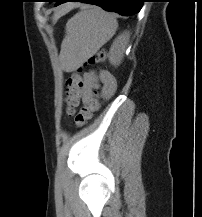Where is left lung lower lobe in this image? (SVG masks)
<instances>
[{"instance_id": "1", "label": "left lung lower lobe", "mask_w": 202, "mask_h": 217, "mask_svg": "<svg viewBox=\"0 0 202 217\" xmlns=\"http://www.w3.org/2000/svg\"><path fill=\"white\" fill-rule=\"evenodd\" d=\"M55 2V6L65 2L89 3L100 6L110 12L130 16L137 14L140 11L144 0H55Z\"/></svg>"}]
</instances>
